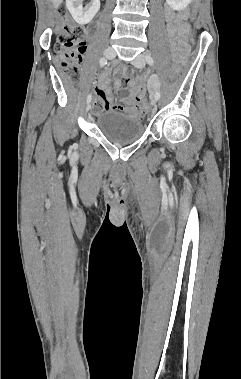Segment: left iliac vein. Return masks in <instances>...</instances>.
<instances>
[{"mask_svg":"<svg viewBox=\"0 0 241 379\" xmlns=\"http://www.w3.org/2000/svg\"><path fill=\"white\" fill-rule=\"evenodd\" d=\"M132 64L137 68H143L146 64L145 57L143 54H139L133 61ZM157 102L155 96L151 97V105L154 106Z\"/></svg>","mask_w":241,"mask_h":379,"instance_id":"4c4485c4","label":"left iliac vein"}]
</instances>
